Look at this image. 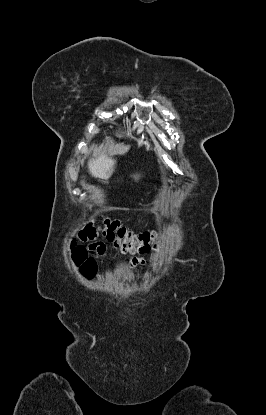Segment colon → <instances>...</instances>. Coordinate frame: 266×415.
Listing matches in <instances>:
<instances>
[{
    "mask_svg": "<svg viewBox=\"0 0 266 415\" xmlns=\"http://www.w3.org/2000/svg\"><path fill=\"white\" fill-rule=\"evenodd\" d=\"M101 234L110 243L120 248L125 253L145 254L156 248L158 245L157 236L153 231L134 233L124 227L116 219H105L102 225L95 223L87 224L79 233L83 241L95 238ZM74 260L81 265L87 275L95 271V261L88 255L87 249L83 246H76L73 249Z\"/></svg>",
    "mask_w": 266,
    "mask_h": 415,
    "instance_id": "obj_1",
    "label": "colon"
}]
</instances>
